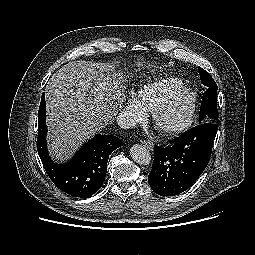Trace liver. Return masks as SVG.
Wrapping results in <instances>:
<instances>
[{
    "mask_svg": "<svg viewBox=\"0 0 255 255\" xmlns=\"http://www.w3.org/2000/svg\"><path fill=\"white\" fill-rule=\"evenodd\" d=\"M45 97L49 148L63 160L118 114L126 97L124 78L109 63L71 61L52 75Z\"/></svg>",
    "mask_w": 255,
    "mask_h": 255,
    "instance_id": "6515ba94",
    "label": "liver"
}]
</instances>
